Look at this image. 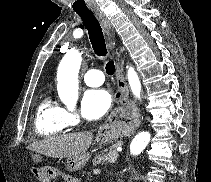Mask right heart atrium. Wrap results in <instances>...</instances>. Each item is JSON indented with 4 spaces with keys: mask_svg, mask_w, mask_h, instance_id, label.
I'll list each match as a JSON object with an SVG mask.
<instances>
[{
    "mask_svg": "<svg viewBox=\"0 0 211 182\" xmlns=\"http://www.w3.org/2000/svg\"><path fill=\"white\" fill-rule=\"evenodd\" d=\"M66 119L68 122V125L74 126L79 123V116L77 113L67 111L66 110Z\"/></svg>",
    "mask_w": 211,
    "mask_h": 182,
    "instance_id": "d8ad5b80",
    "label": "right heart atrium"
}]
</instances>
